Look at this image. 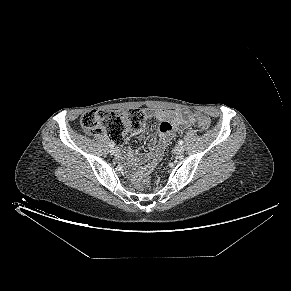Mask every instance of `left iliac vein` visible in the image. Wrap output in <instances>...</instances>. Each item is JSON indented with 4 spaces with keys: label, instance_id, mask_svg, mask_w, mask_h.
Listing matches in <instances>:
<instances>
[{
    "label": "left iliac vein",
    "instance_id": "1",
    "mask_svg": "<svg viewBox=\"0 0 291 291\" xmlns=\"http://www.w3.org/2000/svg\"><path fill=\"white\" fill-rule=\"evenodd\" d=\"M174 153L176 155H182L184 153V148L182 146H176L174 148Z\"/></svg>",
    "mask_w": 291,
    "mask_h": 291
}]
</instances>
